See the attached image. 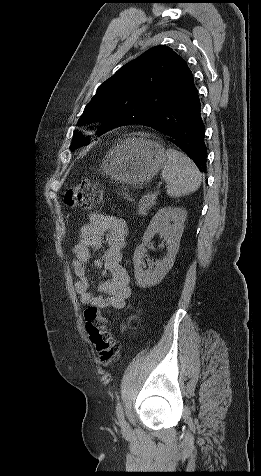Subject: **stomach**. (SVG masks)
<instances>
[{
  "label": "stomach",
  "instance_id": "stomach-1",
  "mask_svg": "<svg viewBox=\"0 0 261 476\" xmlns=\"http://www.w3.org/2000/svg\"><path fill=\"white\" fill-rule=\"evenodd\" d=\"M165 162L164 148L158 142L142 136L129 137L109 149L101 168L117 181L142 185L153 178Z\"/></svg>",
  "mask_w": 261,
  "mask_h": 476
}]
</instances>
